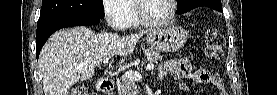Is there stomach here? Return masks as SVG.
Segmentation results:
<instances>
[{
    "mask_svg": "<svg viewBox=\"0 0 277 95\" xmlns=\"http://www.w3.org/2000/svg\"><path fill=\"white\" fill-rule=\"evenodd\" d=\"M187 40V31L179 26L152 30L147 35L151 48L161 52H176Z\"/></svg>",
    "mask_w": 277,
    "mask_h": 95,
    "instance_id": "0dacf381",
    "label": "stomach"
}]
</instances>
